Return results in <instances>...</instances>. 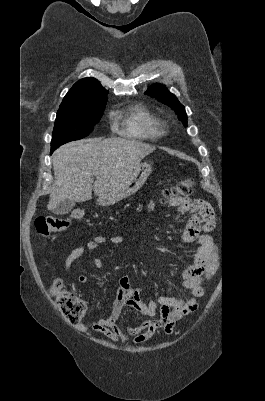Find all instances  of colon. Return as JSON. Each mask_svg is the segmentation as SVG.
Segmentation results:
<instances>
[{
  "label": "colon",
  "mask_w": 265,
  "mask_h": 401,
  "mask_svg": "<svg viewBox=\"0 0 265 401\" xmlns=\"http://www.w3.org/2000/svg\"><path fill=\"white\" fill-rule=\"evenodd\" d=\"M194 186V180L188 177L166 188L162 195L165 200L171 198H185L192 194ZM83 216L84 211L82 209H74L71 211L68 218H58L53 216L38 217L34 222V227L41 237H47L52 232L65 229L71 220H80ZM50 293L54 297L55 303L61 312L62 317L69 324L74 325L79 323L86 312L85 302L72 292L66 290L63 287L61 280H55L52 283ZM164 330L166 333L170 334L173 329L170 324L166 323L164 325Z\"/></svg>",
  "instance_id": "5ec220e1"
}]
</instances>
